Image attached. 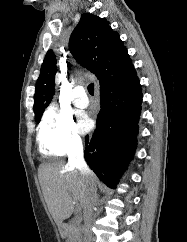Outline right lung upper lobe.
Returning <instances> with one entry per match:
<instances>
[{"label": "right lung upper lobe", "instance_id": "1", "mask_svg": "<svg viewBox=\"0 0 187 242\" xmlns=\"http://www.w3.org/2000/svg\"><path fill=\"white\" fill-rule=\"evenodd\" d=\"M69 49L73 57L90 70L100 89L121 82L136 73L119 34L109 22L98 16L83 14L72 32ZM56 58L52 50L45 56L34 96L35 116L42 115L50 104L55 89Z\"/></svg>", "mask_w": 187, "mask_h": 242}]
</instances>
